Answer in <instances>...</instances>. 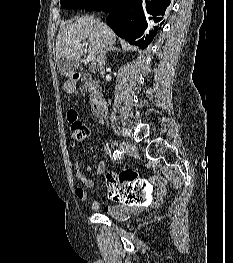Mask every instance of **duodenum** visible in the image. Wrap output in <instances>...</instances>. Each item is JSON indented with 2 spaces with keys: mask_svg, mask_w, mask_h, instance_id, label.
Wrapping results in <instances>:
<instances>
[{
  "mask_svg": "<svg viewBox=\"0 0 233 263\" xmlns=\"http://www.w3.org/2000/svg\"><path fill=\"white\" fill-rule=\"evenodd\" d=\"M81 77V73L77 72L73 75L74 80H78ZM87 97L91 100V110L95 117L103 118L106 116L108 108L107 103L102 98L104 94L99 89L98 85H89L87 90Z\"/></svg>",
  "mask_w": 233,
  "mask_h": 263,
  "instance_id": "obj_1",
  "label": "duodenum"
}]
</instances>
